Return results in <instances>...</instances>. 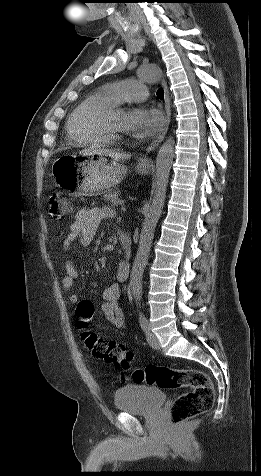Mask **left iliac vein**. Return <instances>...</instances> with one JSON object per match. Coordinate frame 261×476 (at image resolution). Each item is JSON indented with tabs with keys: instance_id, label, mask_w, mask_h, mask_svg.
I'll list each match as a JSON object with an SVG mask.
<instances>
[{
	"instance_id": "4c4485c4",
	"label": "left iliac vein",
	"mask_w": 261,
	"mask_h": 476,
	"mask_svg": "<svg viewBox=\"0 0 261 476\" xmlns=\"http://www.w3.org/2000/svg\"><path fill=\"white\" fill-rule=\"evenodd\" d=\"M146 338L147 342L149 345L154 348V349H159L160 348V342L158 337L151 331L150 325L148 324L147 330H146Z\"/></svg>"
}]
</instances>
